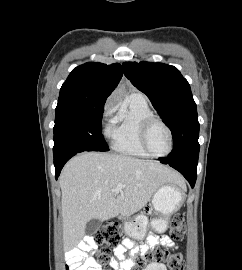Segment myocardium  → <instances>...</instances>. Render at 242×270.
Masks as SVG:
<instances>
[{
    "label": "myocardium",
    "instance_id": "1",
    "mask_svg": "<svg viewBox=\"0 0 242 270\" xmlns=\"http://www.w3.org/2000/svg\"><path fill=\"white\" fill-rule=\"evenodd\" d=\"M154 123H159L160 125H162L165 128V130L167 131L168 136H169V149L165 154H162V155H157V154L153 153L148 145V140H147L148 133H149L151 126ZM140 143H141V146L143 147V149L145 150V152L149 156L154 157V158H165L172 153L173 148H174L173 132H172L171 128L169 127V125L164 120H162L158 116L152 115V116L147 117L141 124Z\"/></svg>",
    "mask_w": 242,
    "mask_h": 270
}]
</instances>
